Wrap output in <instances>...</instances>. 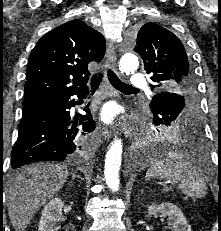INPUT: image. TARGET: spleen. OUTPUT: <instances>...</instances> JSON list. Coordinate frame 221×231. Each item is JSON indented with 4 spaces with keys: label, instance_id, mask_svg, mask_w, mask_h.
Returning <instances> with one entry per match:
<instances>
[{
    "label": "spleen",
    "instance_id": "spleen-1",
    "mask_svg": "<svg viewBox=\"0 0 221 231\" xmlns=\"http://www.w3.org/2000/svg\"><path fill=\"white\" fill-rule=\"evenodd\" d=\"M146 177L179 181L178 188L192 198H203L207 193L201 171L192 162L179 155H169L164 159L154 161ZM163 190L169 191L171 187L165 186Z\"/></svg>",
    "mask_w": 221,
    "mask_h": 231
}]
</instances>
